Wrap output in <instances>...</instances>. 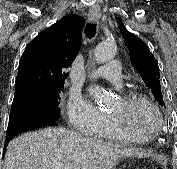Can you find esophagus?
<instances>
[{"label":"esophagus","mask_w":177,"mask_h":169,"mask_svg":"<svg viewBox=\"0 0 177 169\" xmlns=\"http://www.w3.org/2000/svg\"><path fill=\"white\" fill-rule=\"evenodd\" d=\"M100 8L98 6H91L89 9L88 20L95 22L100 18Z\"/></svg>","instance_id":"esophagus-1"}]
</instances>
